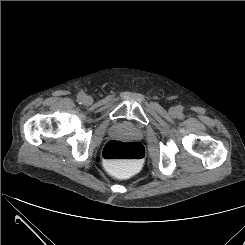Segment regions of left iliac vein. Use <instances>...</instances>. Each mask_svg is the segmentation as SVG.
<instances>
[{
	"instance_id": "1",
	"label": "left iliac vein",
	"mask_w": 245,
	"mask_h": 245,
	"mask_svg": "<svg viewBox=\"0 0 245 245\" xmlns=\"http://www.w3.org/2000/svg\"><path fill=\"white\" fill-rule=\"evenodd\" d=\"M170 113H171L172 115L176 114V113H177V108H176V107H172V108L170 109Z\"/></svg>"
}]
</instances>
